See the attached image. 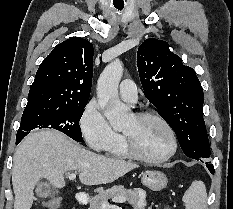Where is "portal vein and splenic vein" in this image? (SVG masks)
<instances>
[{
    "label": "portal vein and splenic vein",
    "instance_id": "18ae733b",
    "mask_svg": "<svg viewBox=\"0 0 233 209\" xmlns=\"http://www.w3.org/2000/svg\"><path fill=\"white\" fill-rule=\"evenodd\" d=\"M76 174H77L76 172L70 173V174H68V178L70 180H74L76 178ZM112 201L115 203H124L125 199L121 198V197H119V198L115 197L112 199ZM102 207H103L102 209H110L111 205L109 203H104Z\"/></svg>",
    "mask_w": 233,
    "mask_h": 209
}]
</instances>
